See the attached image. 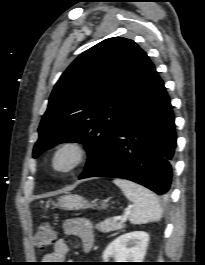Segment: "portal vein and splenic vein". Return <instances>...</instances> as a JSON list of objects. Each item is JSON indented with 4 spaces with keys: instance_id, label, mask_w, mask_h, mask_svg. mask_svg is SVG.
Here are the masks:
<instances>
[{
    "instance_id": "18ae733b",
    "label": "portal vein and splenic vein",
    "mask_w": 205,
    "mask_h": 265,
    "mask_svg": "<svg viewBox=\"0 0 205 265\" xmlns=\"http://www.w3.org/2000/svg\"><path fill=\"white\" fill-rule=\"evenodd\" d=\"M126 216H117L114 218V221L118 222V221H121V222H124L126 220Z\"/></svg>"
}]
</instances>
